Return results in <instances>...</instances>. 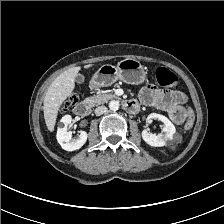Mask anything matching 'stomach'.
Listing matches in <instances>:
<instances>
[{
	"mask_svg": "<svg viewBox=\"0 0 224 224\" xmlns=\"http://www.w3.org/2000/svg\"><path fill=\"white\" fill-rule=\"evenodd\" d=\"M147 77L143 65L136 59L126 58L117 66L105 64L93 75L90 85L93 88H101L112 85L117 80L128 84H142Z\"/></svg>",
	"mask_w": 224,
	"mask_h": 224,
	"instance_id": "obj_1",
	"label": "stomach"
}]
</instances>
